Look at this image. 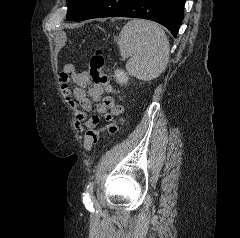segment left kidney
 Listing matches in <instances>:
<instances>
[{
	"instance_id": "obj_1",
	"label": "left kidney",
	"mask_w": 240,
	"mask_h": 238,
	"mask_svg": "<svg viewBox=\"0 0 240 238\" xmlns=\"http://www.w3.org/2000/svg\"><path fill=\"white\" fill-rule=\"evenodd\" d=\"M114 77L116 79V82H118L121 85L126 84L128 82V75L123 70L117 69L114 72Z\"/></svg>"
}]
</instances>
